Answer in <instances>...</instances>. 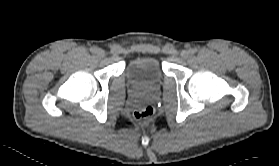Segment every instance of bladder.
Returning a JSON list of instances; mask_svg holds the SVG:
<instances>
[{
  "label": "bladder",
  "mask_w": 279,
  "mask_h": 166,
  "mask_svg": "<svg viewBox=\"0 0 279 166\" xmlns=\"http://www.w3.org/2000/svg\"><path fill=\"white\" fill-rule=\"evenodd\" d=\"M124 73L133 86L142 90L157 89L164 78L161 63L154 57H138L130 60L125 66Z\"/></svg>",
  "instance_id": "obj_1"
}]
</instances>
